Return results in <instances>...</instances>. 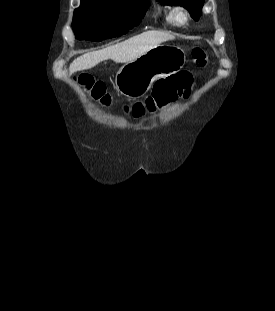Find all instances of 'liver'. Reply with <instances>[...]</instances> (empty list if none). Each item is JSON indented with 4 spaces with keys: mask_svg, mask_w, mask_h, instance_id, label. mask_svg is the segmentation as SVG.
<instances>
[{
    "mask_svg": "<svg viewBox=\"0 0 275 311\" xmlns=\"http://www.w3.org/2000/svg\"><path fill=\"white\" fill-rule=\"evenodd\" d=\"M173 36L161 31H146L121 43L92 51L76 58L70 65V74L91 69L101 61L112 59L116 63L134 60L161 43L172 40Z\"/></svg>",
    "mask_w": 275,
    "mask_h": 311,
    "instance_id": "6515ba94",
    "label": "liver"
}]
</instances>
